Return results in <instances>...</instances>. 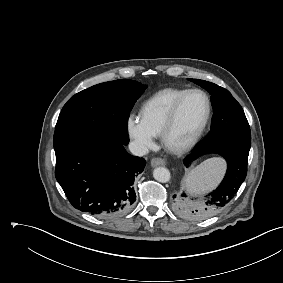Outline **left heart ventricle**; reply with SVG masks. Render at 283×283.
Segmentation results:
<instances>
[{"label": "left heart ventricle", "instance_id": "1", "mask_svg": "<svg viewBox=\"0 0 283 283\" xmlns=\"http://www.w3.org/2000/svg\"><path fill=\"white\" fill-rule=\"evenodd\" d=\"M206 114L205 98L192 93L183 101L175 124L169 134V142L179 145L188 141L201 126Z\"/></svg>", "mask_w": 283, "mask_h": 283}]
</instances>
